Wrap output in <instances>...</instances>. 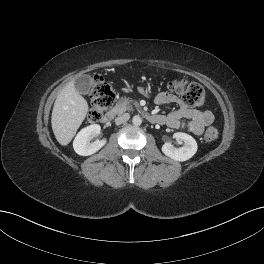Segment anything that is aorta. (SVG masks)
I'll return each mask as SVG.
<instances>
[{
    "instance_id": "aorta-1",
    "label": "aorta",
    "mask_w": 264,
    "mask_h": 264,
    "mask_svg": "<svg viewBox=\"0 0 264 264\" xmlns=\"http://www.w3.org/2000/svg\"><path fill=\"white\" fill-rule=\"evenodd\" d=\"M132 123L135 125V126H140L142 124V119L140 116L136 115L133 117L132 119Z\"/></svg>"
}]
</instances>
